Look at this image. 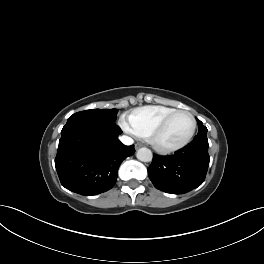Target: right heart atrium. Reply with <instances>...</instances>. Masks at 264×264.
I'll list each match as a JSON object with an SVG mask.
<instances>
[{
    "label": "right heart atrium",
    "instance_id": "right-heart-atrium-1",
    "mask_svg": "<svg viewBox=\"0 0 264 264\" xmlns=\"http://www.w3.org/2000/svg\"><path fill=\"white\" fill-rule=\"evenodd\" d=\"M120 125L122 126V128L127 131V132H132V129L131 127L128 125V123L124 120V119H121L120 120Z\"/></svg>",
    "mask_w": 264,
    "mask_h": 264
}]
</instances>
